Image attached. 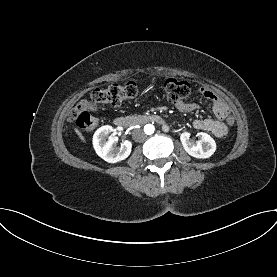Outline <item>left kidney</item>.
Masks as SVG:
<instances>
[{
    "instance_id": "5707ae66",
    "label": "left kidney",
    "mask_w": 277,
    "mask_h": 277,
    "mask_svg": "<svg viewBox=\"0 0 277 277\" xmlns=\"http://www.w3.org/2000/svg\"><path fill=\"white\" fill-rule=\"evenodd\" d=\"M200 141L194 143L190 140V134L184 132L180 136L184 150L192 157L205 159L211 157L216 151V142L207 133L200 132L197 134Z\"/></svg>"
}]
</instances>
